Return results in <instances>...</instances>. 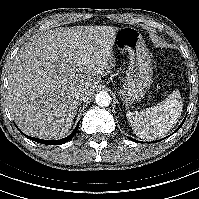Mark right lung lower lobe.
I'll use <instances>...</instances> for the list:
<instances>
[{
	"instance_id": "1",
	"label": "right lung lower lobe",
	"mask_w": 199,
	"mask_h": 199,
	"mask_svg": "<svg viewBox=\"0 0 199 199\" xmlns=\"http://www.w3.org/2000/svg\"><path fill=\"white\" fill-rule=\"evenodd\" d=\"M78 127H79V123L77 124L76 128L74 129V131L69 136H67L66 138H63L61 140H56V141H50V140L48 141V140L38 139V138L27 136L25 134H24V136H26L27 138H29V139H31V140H33L35 142L41 143V144L61 145V144H64V143H66L67 141H69L70 139L73 138V136L76 134V132L78 130Z\"/></svg>"
}]
</instances>
